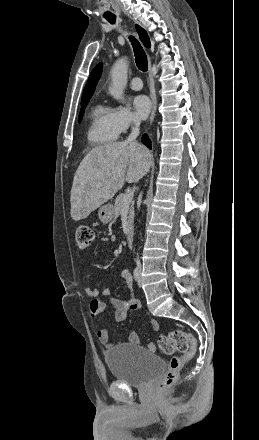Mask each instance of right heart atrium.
Returning a JSON list of instances; mask_svg holds the SVG:
<instances>
[{
	"label": "right heart atrium",
	"instance_id": "obj_1",
	"mask_svg": "<svg viewBox=\"0 0 259 440\" xmlns=\"http://www.w3.org/2000/svg\"><path fill=\"white\" fill-rule=\"evenodd\" d=\"M111 123L117 135H120L138 125V119L128 106L118 105L111 109Z\"/></svg>",
	"mask_w": 259,
	"mask_h": 440
}]
</instances>
